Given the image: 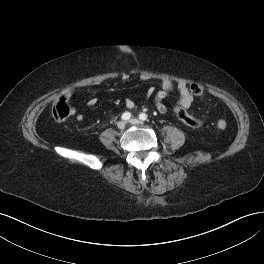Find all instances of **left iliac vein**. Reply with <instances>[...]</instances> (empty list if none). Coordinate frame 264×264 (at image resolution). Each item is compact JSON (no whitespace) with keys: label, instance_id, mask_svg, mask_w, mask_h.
I'll return each mask as SVG.
<instances>
[{"label":"left iliac vein","instance_id":"4c4485c4","mask_svg":"<svg viewBox=\"0 0 264 264\" xmlns=\"http://www.w3.org/2000/svg\"><path fill=\"white\" fill-rule=\"evenodd\" d=\"M129 123H131V124H139L140 121H139L138 119H136V118H132V119L129 121Z\"/></svg>","mask_w":264,"mask_h":264}]
</instances>
